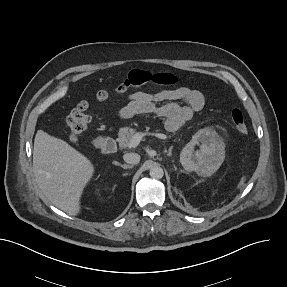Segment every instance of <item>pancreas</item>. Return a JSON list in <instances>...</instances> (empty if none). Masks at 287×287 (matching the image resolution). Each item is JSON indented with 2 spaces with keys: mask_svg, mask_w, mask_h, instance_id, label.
I'll list each match as a JSON object with an SVG mask.
<instances>
[{
  "mask_svg": "<svg viewBox=\"0 0 287 287\" xmlns=\"http://www.w3.org/2000/svg\"><path fill=\"white\" fill-rule=\"evenodd\" d=\"M138 133L136 129L130 127H123L119 131L118 143L121 148L129 147L130 140L133 135Z\"/></svg>",
  "mask_w": 287,
  "mask_h": 287,
  "instance_id": "obj_1",
  "label": "pancreas"
}]
</instances>
